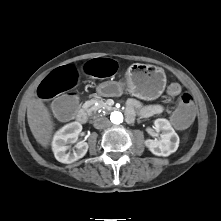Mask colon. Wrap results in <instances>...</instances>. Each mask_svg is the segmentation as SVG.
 Segmentation results:
<instances>
[{
  "label": "colon",
  "mask_w": 221,
  "mask_h": 221,
  "mask_svg": "<svg viewBox=\"0 0 221 221\" xmlns=\"http://www.w3.org/2000/svg\"><path fill=\"white\" fill-rule=\"evenodd\" d=\"M116 68V64L111 59H99L86 65V71L96 77H106L111 75ZM78 72L72 66L58 68L51 72L40 84L38 95L42 99L54 98L70 89L78 82ZM167 92L171 96H179V106L172 114V122L178 128H186L195 118V107L189 94H181L182 87L178 83H171ZM79 102L75 96L64 95L54 100L51 110L52 118L55 121H66L70 114L78 110Z\"/></svg>",
  "instance_id": "colon-1"
}]
</instances>
